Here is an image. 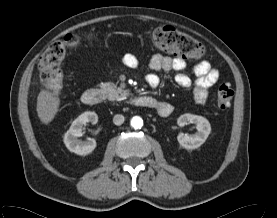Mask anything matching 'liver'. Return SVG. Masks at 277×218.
<instances>
[{"label":"liver","instance_id":"6515ba94","mask_svg":"<svg viewBox=\"0 0 277 218\" xmlns=\"http://www.w3.org/2000/svg\"><path fill=\"white\" fill-rule=\"evenodd\" d=\"M60 99L50 91L41 89L37 97V113L40 121L49 124L58 112Z\"/></svg>","mask_w":277,"mask_h":218}]
</instances>
